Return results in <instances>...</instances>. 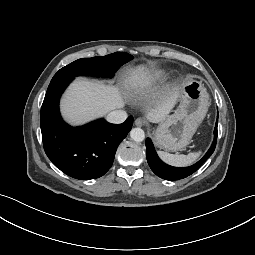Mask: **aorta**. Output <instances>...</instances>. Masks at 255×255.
I'll list each match as a JSON object with an SVG mask.
<instances>
[{
	"label": "aorta",
	"mask_w": 255,
	"mask_h": 255,
	"mask_svg": "<svg viewBox=\"0 0 255 255\" xmlns=\"http://www.w3.org/2000/svg\"><path fill=\"white\" fill-rule=\"evenodd\" d=\"M130 137L136 142H142L145 139V133L141 128H133L130 131Z\"/></svg>",
	"instance_id": "obj_1"
}]
</instances>
